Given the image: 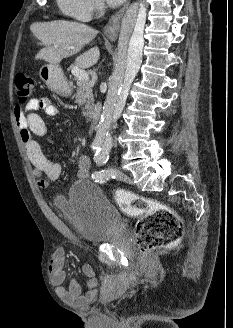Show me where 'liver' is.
<instances>
[{"label":"liver","mask_w":233,"mask_h":328,"mask_svg":"<svg viewBox=\"0 0 233 328\" xmlns=\"http://www.w3.org/2000/svg\"><path fill=\"white\" fill-rule=\"evenodd\" d=\"M31 30L44 45L36 54L35 59L44 60L50 64H58L62 59L78 53L98 33L88 25L63 20L35 23ZM64 46L73 47V49L66 50ZM99 57V48L93 47L79 55L75 64L80 68H89L97 63Z\"/></svg>","instance_id":"6515ba94"}]
</instances>
